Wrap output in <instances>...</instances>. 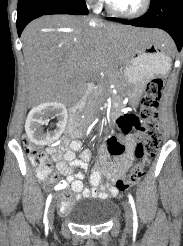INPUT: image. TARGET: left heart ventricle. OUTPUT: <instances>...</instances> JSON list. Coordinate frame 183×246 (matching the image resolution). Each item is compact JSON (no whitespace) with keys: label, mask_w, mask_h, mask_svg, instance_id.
Instances as JSON below:
<instances>
[{"label":"left heart ventricle","mask_w":183,"mask_h":246,"mask_svg":"<svg viewBox=\"0 0 183 246\" xmlns=\"http://www.w3.org/2000/svg\"><path fill=\"white\" fill-rule=\"evenodd\" d=\"M143 0H109L111 5L122 12H133L137 10Z\"/></svg>","instance_id":"1"}]
</instances>
